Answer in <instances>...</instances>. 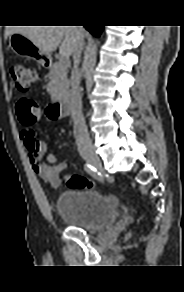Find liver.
Segmentation results:
<instances>
[{
  "label": "liver",
  "mask_w": 184,
  "mask_h": 292,
  "mask_svg": "<svg viewBox=\"0 0 184 292\" xmlns=\"http://www.w3.org/2000/svg\"><path fill=\"white\" fill-rule=\"evenodd\" d=\"M78 26H9L5 36L19 33L29 38L38 48L50 55L59 47L61 56L70 57L84 30Z\"/></svg>",
  "instance_id": "liver-1"
}]
</instances>
